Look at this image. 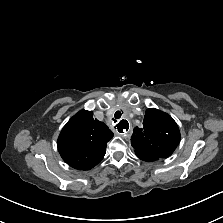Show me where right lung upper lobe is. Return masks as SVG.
<instances>
[{
    "label": "right lung upper lobe",
    "instance_id": "right-lung-upper-lobe-1",
    "mask_svg": "<svg viewBox=\"0 0 223 223\" xmlns=\"http://www.w3.org/2000/svg\"><path fill=\"white\" fill-rule=\"evenodd\" d=\"M112 137L113 132L106 124L93 119L92 111L81 110L63 127L57 141L58 151L71 167L89 170L102 160Z\"/></svg>",
    "mask_w": 223,
    "mask_h": 223
}]
</instances>
